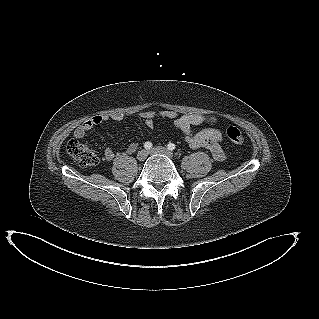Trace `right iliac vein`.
I'll return each instance as SVG.
<instances>
[{"label":"right iliac vein","instance_id":"obj_1","mask_svg":"<svg viewBox=\"0 0 319 319\" xmlns=\"http://www.w3.org/2000/svg\"><path fill=\"white\" fill-rule=\"evenodd\" d=\"M148 156V151L143 149V150H140L137 154V159L139 161H144Z\"/></svg>","mask_w":319,"mask_h":319}]
</instances>
